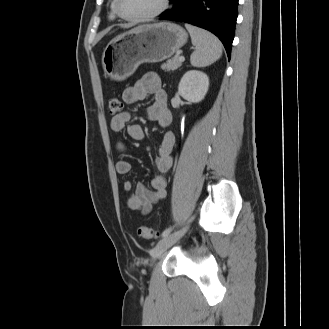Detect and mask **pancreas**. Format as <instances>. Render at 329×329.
I'll return each instance as SVG.
<instances>
[{"label":"pancreas","instance_id":"1","mask_svg":"<svg viewBox=\"0 0 329 329\" xmlns=\"http://www.w3.org/2000/svg\"><path fill=\"white\" fill-rule=\"evenodd\" d=\"M182 65V62L179 61L178 57H174L168 60L166 63L162 64L161 68L166 71H174Z\"/></svg>","mask_w":329,"mask_h":329}]
</instances>
